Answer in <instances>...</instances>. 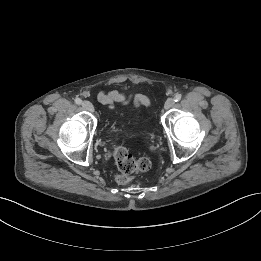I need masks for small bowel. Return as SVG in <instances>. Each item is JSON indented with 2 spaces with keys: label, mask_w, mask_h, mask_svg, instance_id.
Listing matches in <instances>:
<instances>
[{
  "label": "small bowel",
  "mask_w": 261,
  "mask_h": 261,
  "mask_svg": "<svg viewBox=\"0 0 261 261\" xmlns=\"http://www.w3.org/2000/svg\"><path fill=\"white\" fill-rule=\"evenodd\" d=\"M98 100L102 104L107 105L109 108H113L116 103H126L127 97L123 93H120L116 90H111L100 92L98 95ZM134 101L137 104H145L147 100L144 96L137 95L134 98Z\"/></svg>",
  "instance_id": "small-bowel-1"
}]
</instances>
